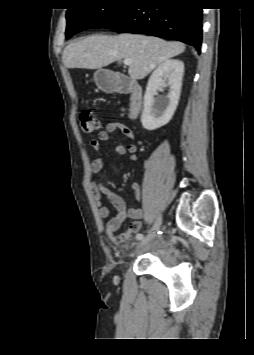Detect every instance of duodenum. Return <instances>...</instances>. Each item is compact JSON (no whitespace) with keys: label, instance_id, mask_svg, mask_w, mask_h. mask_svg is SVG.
Instances as JSON below:
<instances>
[{"label":"duodenum","instance_id":"duodenum-1","mask_svg":"<svg viewBox=\"0 0 254 355\" xmlns=\"http://www.w3.org/2000/svg\"><path fill=\"white\" fill-rule=\"evenodd\" d=\"M105 90L129 94L128 118L134 120L139 115L143 104L142 87L124 75L105 80L102 84Z\"/></svg>","mask_w":254,"mask_h":355}]
</instances>
